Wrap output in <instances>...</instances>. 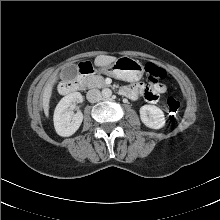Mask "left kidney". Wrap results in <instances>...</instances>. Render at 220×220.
<instances>
[{
	"label": "left kidney",
	"instance_id": "5707ae66",
	"mask_svg": "<svg viewBox=\"0 0 220 220\" xmlns=\"http://www.w3.org/2000/svg\"><path fill=\"white\" fill-rule=\"evenodd\" d=\"M140 119L151 129H161L165 126L163 111L155 105H143L140 110Z\"/></svg>",
	"mask_w": 220,
	"mask_h": 220
}]
</instances>
